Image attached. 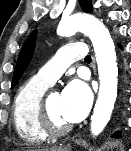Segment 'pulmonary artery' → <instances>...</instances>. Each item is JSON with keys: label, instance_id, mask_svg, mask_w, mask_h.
Segmentation results:
<instances>
[{"label": "pulmonary artery", "instance_id": "e3ab8cb5", "mask_svg": "<svg viewBox=\"0 0 131 151\" xmlns=\"http://www.w3.org/2000/svg\"><path fill=\"white\" fill-rule=\"evenodd\" d=\"M86 55L87 49L84 43H68L62 46L54 57L38 71L36 77L52 85L73 62L84 59Z\"/></svg>", "mask_w": 131, "mask_h": 151}]
</instances>
